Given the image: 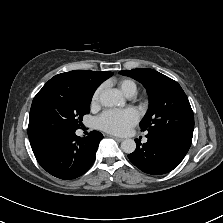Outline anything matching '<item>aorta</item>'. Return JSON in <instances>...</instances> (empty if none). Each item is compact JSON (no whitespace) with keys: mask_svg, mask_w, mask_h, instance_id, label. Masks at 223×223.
Wrapping results in <instances>:
<instances>
[{"mask_svg":"<svg viewBox=\"0 0 223 223\" xmlns=\"http://www.w3.org/2000/svg\"><path fill=\"white\" fill-rule=\"evenodd\" d=\"M100 101L103 106H124L125 100L117 89H108L101 93ZM123 152L130 154L135 151L136 143L133 139H125L121 142Z\"/></svg>","mask_w":223,"mask_h":223,"instance_id":"762f6f07","label":"aorta"}]
</instances>
